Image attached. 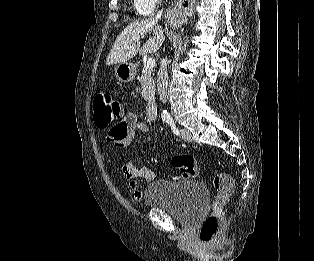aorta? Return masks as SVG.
<instances>
[{"instance_id":"1","label":"aorta","mask_w":314,"mask_h":261,"mask_svg":"<svg viewBox=\"0 0 314 261\" xmlns=\"http://www.w3.org/2000/svg\"><path fill=\"white\" fill-rule=\"evenodd\" d=\"M162 116H163V117L168 116V112H167L166 110H164L163 113H162Z\"/></svg>"}]
</instances>
